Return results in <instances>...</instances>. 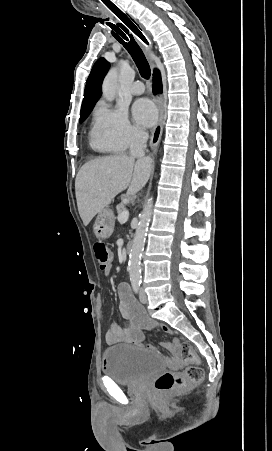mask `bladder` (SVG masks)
<instances>
[{
  "label": "bladder",
  "mask_w": 272,
  "mask_h": 451,
  "mask_svg": "<svg viewBox=\"0 0 272 451\" xmlns=\"http://www.w3.org/2000/svg\"><path fill=\"white\" fill-rule=\"evenodd\" d=\"M105 374L113 376L117 384H134L163 373V356L145 353L129 345H114L103 352Z\"/></svg>",
  "instance_id": "bladder-1"
}]
</instances>
